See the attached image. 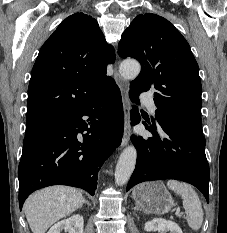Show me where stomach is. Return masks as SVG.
<instances>
[{
	"mask_svg": "<svg viewBox=\"0 0 227 233\" xmlns=\"http://www.w3.org/2000/svg\"><path fill=\"white\" fill-rule=\"evenodd\" d=\"M137 207L147 214H165L169 212L174 201L161 182H148L137 186L132 194Z\"/></svg>",
	"mask_w": 227,
	"mask_h": 233,
	"instance_id": "obj_1",
	"label": "stomach"
}]
</instances>
